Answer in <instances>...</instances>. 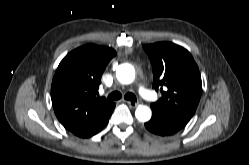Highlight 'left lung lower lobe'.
<instances>
[{
  "mask_svg": "<svg viewBox=\"0 0 249 165\" xmlns=\"http://www.w3.org/2000/svg\"><path fill=\"white\" fill-rule=\"evenodd\" d=\"M152 118L145 123V127L150 132L160 136H170L180 131L189 122V118L164 111L159 107L151 104Z\"/></svg>",
  "mask_w": 249,
  "mask_h": 165,
  "instance_id": "obj_1",
  "label": "left lung lower lobe"
}]
</instances>
